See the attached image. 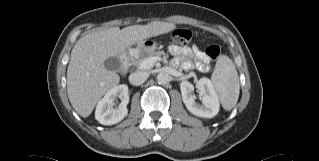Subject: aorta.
<instances>
[{
  "label": "aorta",
  "mask_w": 319,
  "mask_h": 161,
  "mask_svg": "<svg viewBox=\"0 0 319 161\" xmlns=\"http://www.w3.org/2000/svg\"><path fill=\"white\" fill-rule=\"evenodd\" d=\"M170 80V76L167 73L161 72L157 75V81L159 84H166Z\"/></svg>",
  "instance_id": "aorta-1"
}]
</instances>
